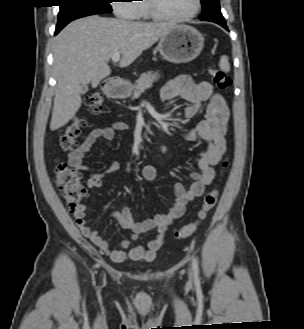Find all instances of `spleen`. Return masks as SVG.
I'll list each match as a JSON object with an SVG mask.
<instances>
[{
    "mask_svg": "<svg viewBox=\"0 0 304 329\" xmlns=\"http://www.w3.org/2000/svg\"><path fill=\"white\" fill-rule=\"evenodd\" d=\"M219 67L225 72L230 71V64H229L227 56H222L221 57L220 62H219Z\"/></svg>",
    "mask_w": 304,
    "mask_h": 329,
    "instance_id": "spleen-1",
    "label": "spleen"
}]
</instances>
